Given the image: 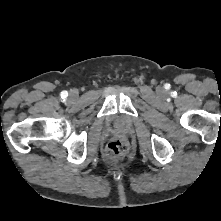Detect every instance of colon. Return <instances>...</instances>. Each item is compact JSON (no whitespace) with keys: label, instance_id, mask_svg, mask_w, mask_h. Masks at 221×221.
<instances>
[{"label":"colon","instance_id":"1","mask_svg":"<svg viewBox=\"0 0 221 221\" xmlns=\"http://www.w3.org/2000/svg\"><path fill=\"white\" fill-rule=\"evenodd\" d=\"M128 151V144L123 140H113L106 148V159L110 163L118 161Z\"/></svg>","mask_w":221,"mask_h":221}]
</instances>
